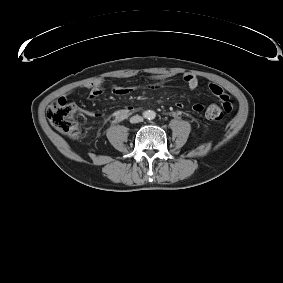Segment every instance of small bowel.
Masks as SVG:
<instances>
[{"label":"small bowel","instance_id":"c3829d8e","mask_svg":"<svg viewBox=\"0 0 283 283\" xmlns=\"http://www.w3.org/2000/svg\"><path fill=\"white\" fill-rule=\"evenodd\" d=\"M171 77L169 76H156V82L149 85L147 88L150 90H159L164 88L167 83L169 82ZM183 81L187 85V87L190 90H194L199 86V80L194 74L186 73L183 75ZM84 88L89 91V98L90 99H96L100 97L103 92H104V82L102 79H94L84 85ZM139 87H134V86H118L114 85L112 87V92L115 95L118 96H129L135 91H137ZM210 92L218 97L220 103L225 106L227 102H230L229 96L225 93V91L218 85L216 84H211L209 86ZM231 103V102H230ZM232 105V104H231ZM176 107L178 110H181L183 108V104L178 102L176 103ZM135 108L133 106H126L124 107L121 112H117L116 116H120L123 113H130L134 111ZM193 110L197 113H200L204 110V106L202 104H194L193 105ZM91 115L96 116V117H103V113H92Z\"/></svg>","mask_w":283,"mask_h":283}]
</instances>
